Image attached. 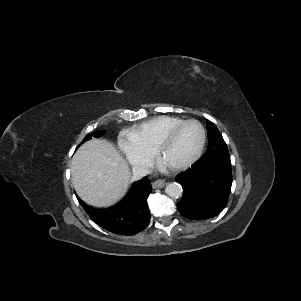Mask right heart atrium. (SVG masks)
<instances>
[{
  "label": "right heart atrium",
  "mask_w": 301,
  "mask_h": 301,
  "mask_svg": "<svg viewBox=\"0 0 301 301\" xmlns=\"http://www.w3.org/2000/svg\"><path fill=\"white\" fill-rule=\"evenodd\" d=\"M118 145L133 168L145 169L151 165L153 160L152 153L143 149L128 134H123L119 137Z\"/></svg>",
  "instance_id": "d8ad5b80"
}]
</instances>
